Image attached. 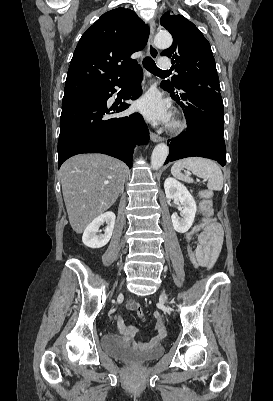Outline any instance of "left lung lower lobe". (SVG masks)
I'll use <instances>...</instances> for the list:
<instances>
[{
	"mask_svg": "<svg viewBox=\"0 0 273 401\" xmlns=\"http://www.w3.org/2000/svg\"><path fill=\"white\" fill-rule=\"evenodd\" d=\"M161 87L167 90L163 84ZM167 91L183 108L188 128L168 141L170 153L165 164L185 157L199 156L217 160L224 166V108L220 92L206 86H188L180 92Z\"/></svg>",
	"mask_w": 273,
	"mask_h": 401,
	"instance_id": "left-lung-lower-lobe-1",
	"label": "left lung lower lobe"
}]
</instances>
